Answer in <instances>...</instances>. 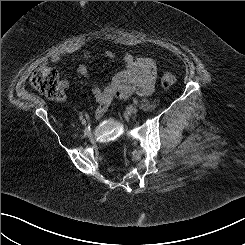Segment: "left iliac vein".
Segmentation results:
<instances>
[{
    "instance_id": "1",
    "label": "left iliac vein",
    "mask_w": 245,
    "mask_h": 245,
    "mask_svg": "<svg viewBox=\"0 0 245 245\" xmlns=\"http://www.w3.org/2000/svg\"><path fill=\"white\" fill-rule=\"evenodd\" d=\"M127 112L129 114H137L138 113V109L136 107L131 106V107L127 108Z\"/></svg>"
}]
</instances>
